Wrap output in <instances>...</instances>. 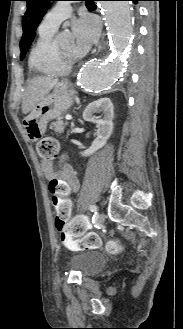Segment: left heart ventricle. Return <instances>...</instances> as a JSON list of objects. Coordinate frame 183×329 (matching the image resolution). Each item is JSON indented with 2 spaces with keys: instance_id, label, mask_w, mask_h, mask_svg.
Segmentation results:
<instances>
[{
  "instance_id": "1",
  "label": "left heart ventricle",
  "mask_w": 183,
  "mask_h": 329,
  "mask_svg": "<svg viewBox=\"0 0 183 329\" xmlns=\"http://www.w3.org/2000/svg\"><path fill=\"white\" fill-rule=\"evenodd\" d=\"M60 50L65 54V56L69 59L75 58L79 55V52L76 49V45L74 42H69L65 46L61 47Z\"/></svg>"
}]
</instances>
